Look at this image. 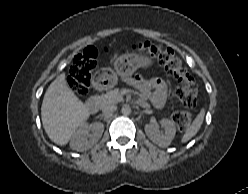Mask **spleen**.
Listing matches in <instances>:
<instances>
[{
	"label": "spleen",
	"mask_w": 248,
	"mask_h": 194,
	"mask_svg": "<svg viewBox=\"0 0 248 194\" xmlns=\"http://www.w3.org/2000/svg\"><path fill=\"white\" fill-rule=\"evenodd\" d=\"M204 115L205 110L201 109L200 113L197 115L191 126L186 130L185 134L183 135L181 140L182 143L189 141L192 137L197 134L203 123Z\"/></svg>",
	"instance_id": "3e777b00"
}]
</instances>
